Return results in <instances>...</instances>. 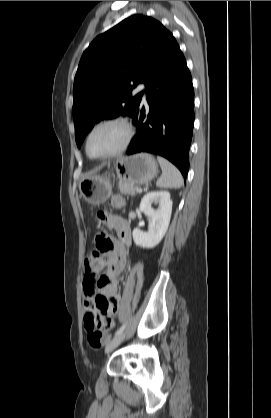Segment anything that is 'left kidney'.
Wrapping results in <instances>:
<instances>
[{
    "instance_id": "1",
    "label": "left kidney",
    "mask_w": 271,
    "mask_h": 418,
    "mask_svg": "<svg viewBox=\"0 0 271 418\" xmlns=\"http://www.w3.org/2000/svg\"><path fill=\"white\" fill-rule=\"evenodd\" d=\"M153 203L158 204L159 207L153 209ZM140 210L149 218L148 232L135 228L133 230L134 242L143 248H153L163 239L170 223L172 213L170 193L168 191L147 193L141 200Z\"/></svg>"
}]
</instances>
